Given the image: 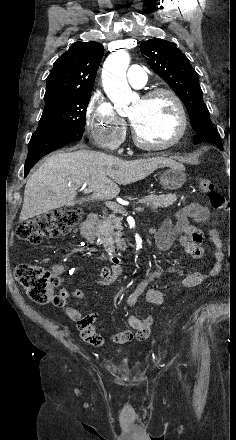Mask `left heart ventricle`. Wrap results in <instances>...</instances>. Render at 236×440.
I'll return each mask as SVG.
<instances>
[{
	"mask_svg": "<svg viewBox=\"0 0 236 440\" xmlns=\"http://www.w3.org/2000/svg\"><path fill=\"white\" fill-rule=\"evenodd\" d=\"M129 119L142 140L161 144L171 140L179 125L178 114L167 96L138 100L130 109Z\"/></svg>",
	"mask_w": 236,
	"mask_h": 440,
	"instance_id": "obj_1",
	"label": "left heart ventricle"
}]
</instances>
